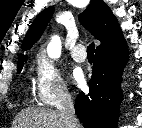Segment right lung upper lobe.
<instances>
[{"label":"right lung upper lobe","instance_id":"cb5924a9","mask_svg":"<svg viewBox=\"0 0 142 128\" xmlns=\"http://www.w3.org/2000/svg\"><path fill=\"white\" fill-rule=\"evenodd\" d=\"M53 12L54 7L51 6L36 17L24 38L23 50H29L40 38ZM79 19L91 34L101 41V44L96 48V52L111 50L125 42L115 16L103 0H91L90 5L80 15ZM24 60H26V56L20 54L18 62Z\"/></svg>","mask_w":142,"mask_h":128}]
</instances>
